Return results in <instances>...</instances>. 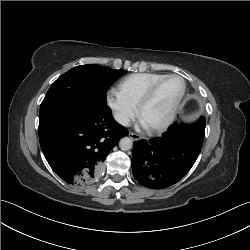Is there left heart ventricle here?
Returning <instances> with one entry per match:
<instances>
[{
    "label": "left heart ventricle",
    "mask_w": 250,
    "mask_h": 250,
    "mask_svg": "<svg viewBox=\"0 0 250 250\" xmlns=\"http://www.w3.org/2000/svg\"><path fill=\"white\" fill-rule=\"evenodd\" d=\"M182 90V82L177 78L164 81L142 113V121L151 126L163 121Z\"/></svg>",
    "instance_id": "left-heart-ventricle-1"
}]
</instances>
